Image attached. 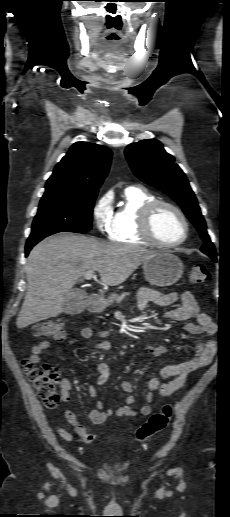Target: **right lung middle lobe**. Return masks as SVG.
I'll return each instance as SVG.
<instances>
[{
  "mask_svg": "<svg viewBox=\"0 0 230 517\" xmlns=\"http://www.w3.org/2000/svg\"><path fill=\"white\" fill-rule=\"evenodd\" d=\"M96 196L97 193L42 197L29 239L63 231H89Z\"/></svg>",
  "mask_w": 230,
  "mask_h": 517,
  "instance_id": "right-lung-middle-lobe-1",
  "label": "right lung middle lobe"
}]
</instances>
